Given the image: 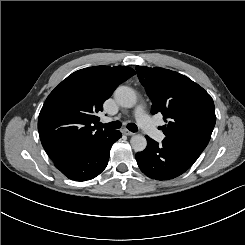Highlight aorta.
I'll return each instance as SVG.
<instances>
[{
    "label": "aorta",
    "mask_w": 245,
    "mask_h": 245,
    "mask_svg": "<svg viewBox=\"0 0 245 245\" xmlns=\"http://www.w3.org/2000/svg\"><path fill=\"white\" fill-rule=\"evenodd\" d=\"M115 100L124 108H132L137 102L134 90L128 86H120L115 90ZM130 143L136 152L143 151L147 146L146 138L139 134L132 136Z\"/></svg>",
    "instance_id": "aorta-1"
}]
</instances>
